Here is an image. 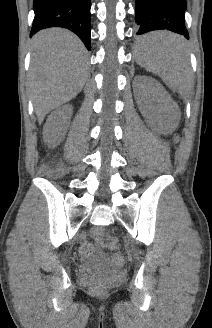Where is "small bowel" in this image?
<instances>
[{"mask_svg": "<svg viewBox=\"0 0 212 328\" xmlns=\"http://www.w3.org/2000/svg\"><path fill=\"white\" fill-rule=\"evenodd\" d=\"M95 234L98 235V231H95ZM91 249H89L87 252H89Z\"/></svg>", "mask_w": 212, "mask_h": 328, "instance_id": "obj_1", "label": "small bowel"}]
</instances>
